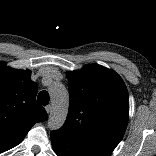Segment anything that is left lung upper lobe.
Returning <instances> with one entry per match:
<instances>
[{
  "label": "left lung upper lobe",
  "mask_w": 156,
  "mask_h": 156,
  "mask_svg": "<svg viewBox=\"0 0 156 156\" xmlns=\"http://www.w3.org/2000/svg\"><path fill=\"white\" fill-rule=\"evenodd\" d=\"M69 110L61 129L68 141L108 156L122 139L129 117V96L121 77L92 64L67 73Z\"/></svg>",
  "instance_id": "obj_1"
}]
</instances>
